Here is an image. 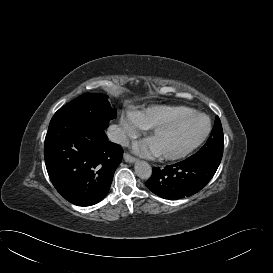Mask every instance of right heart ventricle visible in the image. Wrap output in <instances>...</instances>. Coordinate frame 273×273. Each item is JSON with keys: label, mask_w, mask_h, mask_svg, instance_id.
Returning a JSON list of instances; mask_svg holds the SVG:
<instances>
[{"label": "right heart ventricle", "mask_w": 273, "mask_h": 273, "mask_svg": "<svg viewBox=\"0 0 273 273\" xmlns=\"http://www.w3.org/2000/svg\"><path fill=\"white\" fill-rule=\"evenodd\" d=\"M190 112L184 106H157L147 112H134L133 118L143 128H152L173 121L177 117Z\"/></svg>", "instance_id": "1"}]
</instances>
